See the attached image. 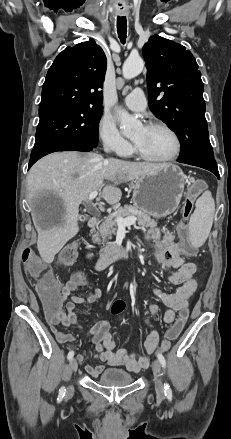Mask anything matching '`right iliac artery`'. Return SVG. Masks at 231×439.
I'll list each match as a JSON object with an SVG mask.
<instances>
[{
    "mask_svg": "<svg viewBox=\"0 0 231 439\" xmlns=\"http://www.w3.org/2000/svg\"><path fill=\"white\" fill-rule=\"evenodd\" d=\"M73 356H74V351H70V352L68 353V355H67V359H68V360H71V359L73 358ZM65 393H66V389H65V387L63 386V387H61L60 390H59V396H58V397H59L60 399H62V398L64 397Z\"/></svg>",
    "mask_w": 231,
    "mask_h": 439,
    "instance_id": "1",
    "label": "right iliac artery"
}]
</instances>
